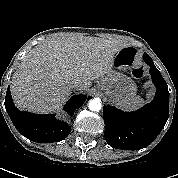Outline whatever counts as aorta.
I'll list each match as a JSON object with an SVG mask.
<instances>
[{
	"instance_id": "1",
	"label": "aorta",
	"mask_w": 178,
	"mask_h": 178,
	"mask_svg": "<svg viewBox=\"0 0 178 178\" xmlns=\"http://www.w3.org/2000/svg\"><path fill=\"white\" fill-rule=\"evenodd\" d=\"M89 109L91 111H100L101 110V102L99 99H93L89 102Z\"/></svg>"
}]
</instances>
